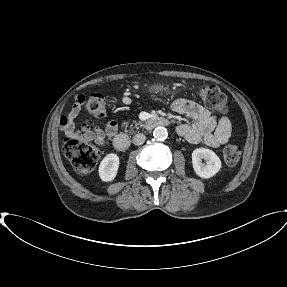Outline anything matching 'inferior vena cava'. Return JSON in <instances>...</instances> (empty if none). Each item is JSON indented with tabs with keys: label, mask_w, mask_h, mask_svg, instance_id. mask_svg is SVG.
I'll return each mask as SVG.
<instances>
[{
	"label": "inferior vena cava",
	"mask_w": 287,
	"mask_h": 287,
	"mask_svg": "<svg viewBox=\"0 0 287 287\" xmlns=\"http://www.w3.org/2000/svg\"><path fill=\"white\" fill-rule=\"evenodd\" d=\"M146 140V136L142 133H138L133 137L134 145H142Z\"/></svg>",
	"instance_id": "inferior-vena-cava-1"
}]
</instances>
